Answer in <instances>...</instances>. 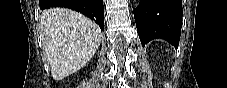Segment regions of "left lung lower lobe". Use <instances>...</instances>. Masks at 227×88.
Wrapping results in <instances>:
<instances>
[{"instance_id": "1", "label": "left lung lower lobe", "mask_w": 227, "mask_h": 88, "mask_svg": "<svg viewBox=\"0 0 227 88\" xmlns=\"http://www.w3.org/2000/svg\"><path fill=\"white\" fill-rule=\"evenodd\" d=\"M182 16L181 0H140L134 18L142 46L160 38L177 48Z\"/></svg>"}]
</instances>
